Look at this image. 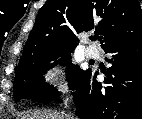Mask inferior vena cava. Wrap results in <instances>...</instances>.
Returning a JSON list of instances; mask_svg holds the SVG:
<instances>
[{
  "label": "inferior vena cava",
  "mask_w": 142,
  "mask_h": 119,
  "mask_svg": "<svg viewBox=\"0 0 142 119\" xmlns=\"http://www.w3.org/2000/svg\"><path fill=\"white\" fill-rule=\"evenodd\" d=\"M67 119H74L73 115L71 113L67 116Z\"/></svg>",
  "instance_id": "obj_1"
}]
</instances>
